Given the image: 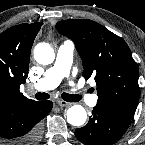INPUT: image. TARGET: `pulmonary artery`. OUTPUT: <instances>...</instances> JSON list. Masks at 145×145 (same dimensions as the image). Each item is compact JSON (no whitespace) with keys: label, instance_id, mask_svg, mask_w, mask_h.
<instances>
[{"label":"pulmonary artery","instance_id":"e3ab8cb5","mask_svg":"<svg viewBox=\"0 0 145 145\" xmlns=\"http://www.w3.org/2000/svg\"><path fill=\"white\" fill-rule=\"evenodd\" d=\"M74 49L75 46L72 41H64L58 48L55 63L46 70L43 77L33 88L39 91L51 90L64 78H69ZM70 85H73V83L70 82ZM77 95L81 96L90 106H95L97 103V96L89 95L86 89H80Z\"/></svg>","mask_w":145,"mask_h":145}]
</instances>
